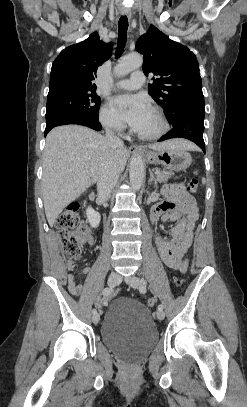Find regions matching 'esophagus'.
<instances>
[{"label":"esophagus","instance_id":"1","mask_svg":"<svg viewBox=\"0 0 247 407\" xmlns=\"http://www.w3.org/2000/svg\"><path fill=\"white\" fill-rule=\"evenodd\" d=\"M121 14L124 15V16L130 17V12H129V10H127V9H122V10H121ZM129 150H130V151H139V150H142V147H140V146H138V145H131V146L129 147Z\"/></svg>","mask_w":247,"mask_h":407}]
</instances>
